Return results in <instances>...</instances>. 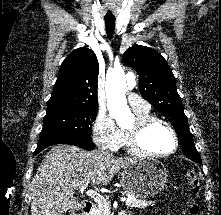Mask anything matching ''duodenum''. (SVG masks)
Wrapping results in <instances>:
<instances>
[{"label":"duodenum","instance_id":"1","mask_svg":"<svg viewBox=\"0 0 221 215\" xmlns=\"http://www.w3.org/2000/svg\"><path fill=\"white\" fill-rule=\"evenodd\" d=\"M94 211V203L92 201H86L80 210H78L74 215H91ZM120 215H127L125 213H121Z\"/></svg>","mask_w":221,"mask_h":215}]
</instances>
